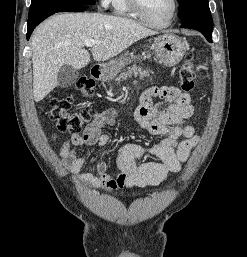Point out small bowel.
Masks as SVG:
<instances>
[{
    "label": "small bowel",
    "mask_w": 247,
    "mask_h": 257,
    "mask_svg": "<svg viewBox=\"0 0 247 257\" xmlns=\"http://www.w3.org/2000/svg\"><path fill=\"white\" fill-rule=\"evenodd\" d=\"M155 97L163 102L154 105ZM116 116L112 108L101 111L82 133H72L60 148L59 155L69 171L90 186L108 191L156 186L169 174L180 171L181 165L187 161L191 150L199 142L193 126L188 123L194 116L189 94L175 87H150L142 93L135 117L144 129L153 135L163 136V139L150 147L132 142L121 145L116 173H108L107 165L94 159L91 163L97 175L80 173L86 163V155L80 154V148L107 145L110 137L102 129L105 125H115ZM145 156L155 160L140 163L139 160Z\"/></svg>",
    "instance_id": "obj_1"
}]
</instances>
